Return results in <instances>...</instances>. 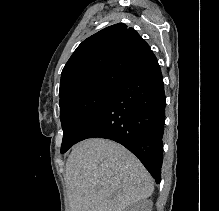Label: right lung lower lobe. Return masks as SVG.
Segmentation results:
<instances>
[{
	"label": "right lung lower lobe",
	"instance_id": "98d812e1",
	"mask_svg": "<svg viewBox=\"0 0 219 211\" xmlns=\"http://www.w3.org/2000/svg\"><path fill=\"white\" fill-rule=\"evenodd\" d=\"M166 97L157 59L118 83L79 134L116 141L135 154L159 184Z\"/></svg>",
	"mask_w": 219,
	"mask_h": 211
}]
</instances>
